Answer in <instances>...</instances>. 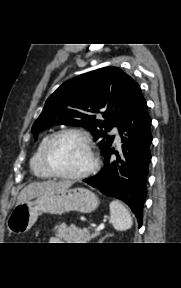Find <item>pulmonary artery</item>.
<instances>
[{
	"label": "pulmonary artery",
	"mask_w": 181,
	"mask_h": 288,
	"mask_svg": "<svg viewBox=\"0 0 181 288\" xmlns=\"http://www.w3.org/2000/svg\"><path fill=\"white\" fill-rule=\"evenodd\" d=\"M113 132H114L115 135H116V136H115L116 141L119 142V141H120V136L118 135V131H117L116 129H114Z\"/></svg>",
	"instance_id": "obj_1"
}]
</instances>
